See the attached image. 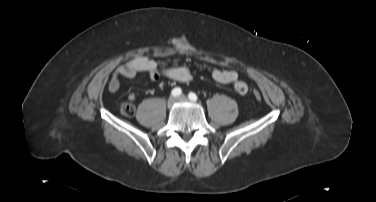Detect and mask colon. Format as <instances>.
<instances>
[{
    "label": "colon",
    "mask_w": 376,
    "mask_h": 202,
    "mask_svg": "<svg viewBox=\"0 0 376 202\" xmlns=\"http://www.w3.org/2000/svg\"><path fill=\"white\" fill-rule=\"evenodd\" d=\"M254 96L257 100L261 99V94L259 92H255ZM121 113L125 116H132L135 113V106L132 101H127L122 104Z\"/></svg>",
    "instance_id": "5ec220e1"
}]
</instances>
